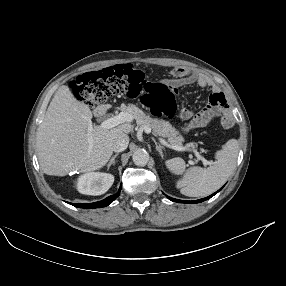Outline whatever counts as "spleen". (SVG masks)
I'll return each instance as SVG.
<instances>
[{"label":"spleen","instance_id":"obj_1","mask_svg":"<svg viewBox=\"0 0 286 286\" xmlns=\"http://www.w3.org/2000/svg\"><path fill=\"white\" fill-rule=\"evenodd\" d=\"M237 155V140L230 139L223 149L217 152L215 164L206 169L193 166L186 170L184 160L179 157L169 159L165 164L172 173L184 174L183 178L176 183V187L183 195L200 197L211 194L225 183L234 171Z\"/></svg>","mask_w":286,"mask_h":286}]
</instances>
